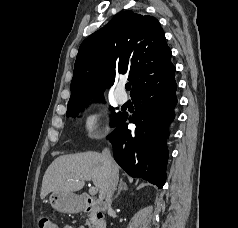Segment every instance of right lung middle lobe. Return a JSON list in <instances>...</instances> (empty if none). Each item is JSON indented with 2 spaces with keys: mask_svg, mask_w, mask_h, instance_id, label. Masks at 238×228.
<instances>
[{
  "mask_svg": "<svg viewBox=\"0 0 238 228\" xmlns=\"http://www.w3.org/2000/svg\"><path fill=\"white\" fill-rule=\"evenodd\" d=\"M85 105H72L69 104L68 108H67V116H71V117H76L78 116L79 112L83 110ZM111 111L113 112V123L112 125H114L115 121L119 118L121 113H115L114 109L111 108Z\"/></svg>",
  "mask_w": 238,
  "mask_h": 228,
  "instance_id": "obj_1",
  "label": "right lung middle lobe"
}]
</instances>
